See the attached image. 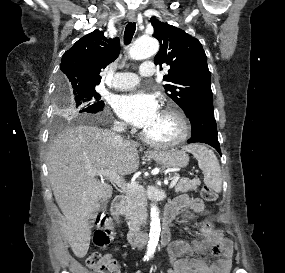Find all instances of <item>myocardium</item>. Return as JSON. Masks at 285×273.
<instances>
[{
	"mask_svg": "<svg viewBox=\"0 0 285 273\" xmlns=\"http://www.w3.org/2000/svg\"><path fill=\"white\" fill-rule=\"evenodd\" d=\"M161 113L173 116L176 119L179 126V134L173 139L159 141L152 139L143 131L141 133L142 140L157 147H172L185 142L191 133V124L185 113L177 106H168L164 108Z\"/></svg>",
	"mask_w": 285,
	"mask_h": 273,
	"instance_id": "f54148a6",
	"label": "myocardium"
}]
</instances>
